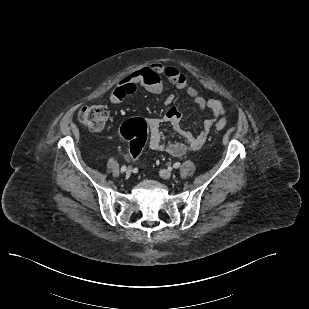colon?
Wrapping results in <instances>:
<instances>
[{
  "instance_id": "1",
  "label": "colon",
  "mask_w": 309,
  "mask_h": 309,
  "mask_svg": "<svg viewBox=\"0 0 309 309\" xmlns=\"http://www.w3.org/2000/svg\"><path fill=\"white\" fill-rule=\"evenodd\" d=\"M108 115V109L105 106L88 105L80 110L79 120L86 128L100 131L104 128ZM225 127L224 120L218 121L215 125L217 130H223ZM121 135L128 141L130 157L137 159L148 140L147 123L141 118L130 119L122 125Z\"/></svg>"
}]
</instances>
